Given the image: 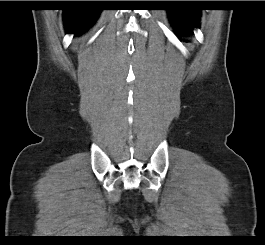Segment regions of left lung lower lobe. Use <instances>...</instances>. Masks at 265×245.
<instances>
[{
    "label": "left lung lower lobe",
    "mask_w": 265,
    "mask_h": 245,
    "mask_svg": "<svg viewBox=\"0 0 265 245\" xmlns=\"http://www.w3.org/2000/svg\"><path fill=\"white\" fill-rule=\"evenodd\" d=\"M200 10L197 9H176L168 10L169 18L178 32H193L194 27H199Z\"/></svg>",
    "instance_id": "left-lung-lower-lobe-1"
}]
</instances>
